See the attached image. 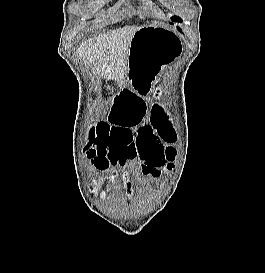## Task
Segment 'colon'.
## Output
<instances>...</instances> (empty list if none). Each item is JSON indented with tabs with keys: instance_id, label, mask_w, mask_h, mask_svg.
I'll list each match as a JSON object with an SVG mask.
<instances>
[{
	"instance_id": "colon-1",
	"label": "colon",
	"mask_w": 265,
	"mask_h": 273,
	"mask_svg": "<svg viewBox=\"0 0 265 273\" xmlns=\"http://www.w3.org/2000/svg\"><path fill=\"white\" fill-rule=\"evenodd\" d=\"M164 112H162L161 105H154L151 108L149 125L151 128H156V132H159V138L165 141H173L176 137V133L173 128L165 123ZM97 147V145H95ZM95 148V147H94ZM93 148V149H94ZM175 150L171 147L166 148V158H167V169L170 170L172 166V161L175 158Z\"/></svg>"
}]
</instances>
